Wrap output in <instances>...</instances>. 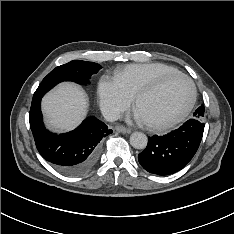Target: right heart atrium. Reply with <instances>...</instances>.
I'll return each mask as SVG.
<instances>
[{
    "instance_id": "1",
    "label": "right heart atrium",
    "mask_w": 234,
    "mask_h": 234,
    "mask_svg": "<svg viewBox=\"0 0 234 234\" xmlns=\"http://www.w3.org/2000/svg\"><path fill=\"white\" fill-rule=\"evenodd\" d=\"M100 106L106 116L118 118L132 103L116 77L104 75L98 84Z\"/></svg>"
}]
</instances>
